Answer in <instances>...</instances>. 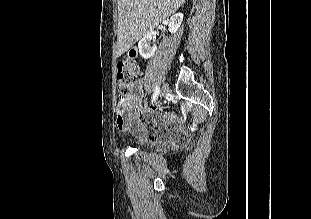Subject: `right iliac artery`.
I'll list each match as a JSON object with an SVG mask.
<instances>
[{
    "label": "right iliac artery",
    "mask_w": 311,
    "mask_h": 219,
    "mask_svg": "<svg viewBox=\"0 0 311 219\" xmlns=\"http://www.w3.org/2000/svg\"><path fill=\"white\" fill-rule=\"evenodd\" d=\"M160 94V88L158 86H156L154 93H153V97H152V103L155 102V100L158 98Z\"/></svg>",
    "instance_id": "82829eb1"
}]
</instances>
